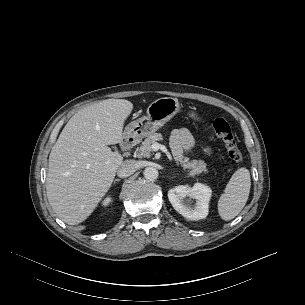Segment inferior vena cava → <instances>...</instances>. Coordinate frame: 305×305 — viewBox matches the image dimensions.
I'll use <instances>...</instances> for the list:
<instances>
[{
  "label": "inferior vena cava",
  "mask_w": 305,
  "mask_h": 305,
  "mask_svg": "<svg viewBox=\"0 0 305 305\" xmlns=\"http://www.w3.org/2000/svg\"><path fill=\"white\" fill-rule=\"evenodd\" d=\"M137 163L133 160H125L121 163L117 170V175L120 178H126L132 175L137 170Z\"/></svg>",
  "instance_id": "1"
}]
</instances>
